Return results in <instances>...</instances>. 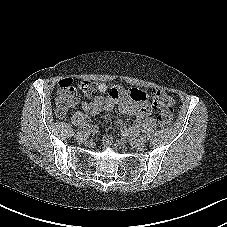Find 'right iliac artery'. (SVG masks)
Segmentation results:
<instances>
[{"mask_svg": "<svg viewBox=\"0 0 227 227\" xmlns=\"http://www.w3.org/2000/svg\"><path fill=\"white\" fill-rule=\"evenodd\" d=\"M98 127L96 126H89V125H79L78 129L79 130H89V131H96Z\"/></svg>", "mask_w": 227, "mask_h": 227, "instance_id": "1", "label": "right iliac artery"}]
</instances>
